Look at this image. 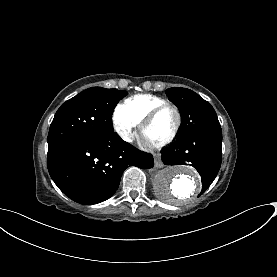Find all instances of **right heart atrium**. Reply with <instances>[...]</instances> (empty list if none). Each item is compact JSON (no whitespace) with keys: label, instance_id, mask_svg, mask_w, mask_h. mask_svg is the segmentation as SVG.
<instances>
[{"label":"right heart atrium","instance_id":"d8ad5b80","mask_svg":"<svg viewBox=\"0 0 277 277\" xmlns=\"http://www.w3.org/2000/svg\"><path fill=\"white\" fill-rule=\"evenodd\" d=\"M138 122L131 116L121 113L119 110L114 115V128L119 136L127 142H131L136 135Z\"/></svg>","mask_w":277,"mask_h":277}]
</instances>
